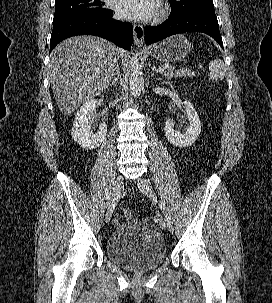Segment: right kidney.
Segmentation results:
<instances>
[{
    "label": "right kidney",
    "mask_w": 272,
    "mask_h": 303,
    "mask_svg": "<svg viewBox=\"0 0 272 303\" xmlns=\"http://www.w3.org/2000/svg\"><path fill=\"white\" fill-rule=\"evenodd\" d=\"M99 102L95 99L86 101L77 111L72 128V139L81 147L89 150L99 146L107 134V125L101 123L99 130L94 133L92 124L94 122V111Z\"/></svg>",
    "instance_id": "ca27d5eb"
}]
</instances>
